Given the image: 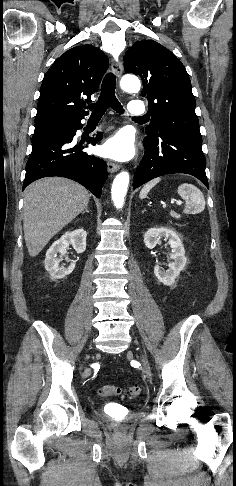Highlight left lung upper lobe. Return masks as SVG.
Returning <instances> with one entry per match:
<instances>
[{"label": "left lung upper lobe", "mask_w": 236, "mask_h": 486, "mask_svg": "<svg viewBox=\"0 0 236 486\" xmlns=\"http://www.w3.org/2000/svg\"><path fill=\"white\" fill-rule=\"evenodd\" d=\"M124 66L127 73L140 75L142 96L148 97L151 119L145 139L168 132L201 137L189 76L171 51L154 40H141L126 52Z\"/></svg>", "instance_id": "left-lung-upper-lobe-1"}]
</instances>
